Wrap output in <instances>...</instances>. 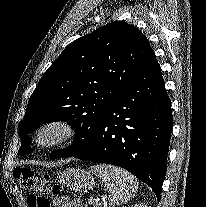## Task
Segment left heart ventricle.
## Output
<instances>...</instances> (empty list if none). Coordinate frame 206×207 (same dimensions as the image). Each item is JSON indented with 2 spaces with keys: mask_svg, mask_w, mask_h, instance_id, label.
Wrapping results in <instances>:
<instances>
[{
  "mask_svg": "<svg viewBox=\"0 0 206 207\" xmlns=\"http://www.w3.org/2000/svg\"><path fill=\"white\" fill-rule=\"evenodd\" d=\"M54 136L53 132H49L48 134L45 135L44 139L49 140Z\"/></svg>",
  "mask_w": 206,
  "mask_h": 207,
  "instance_id": "b2bd125f",
  "label": "left heart ventricle"
}]
</instances>
